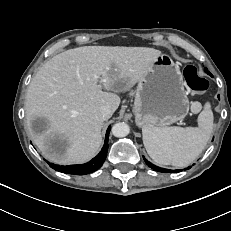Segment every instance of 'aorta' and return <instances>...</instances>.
I'll return each instance as SVG.
<instances>
[{
	"mask_svg": "<svg viewBox=\"0 0 231 231\" xmlns=\"http://www.w3.org/2000/svg\"><path fill=\"white\" fill-rule=\"evenodd\" d=\"M130 128L124 122H119L113 125L112 127V134L115 137H125L129 134Z\"/></svg>",
	"mask_w": 231,
	"mask_h": 231,
	"instance_id": "aorta-1",
	"label": "aorta"
}]
</instances>
